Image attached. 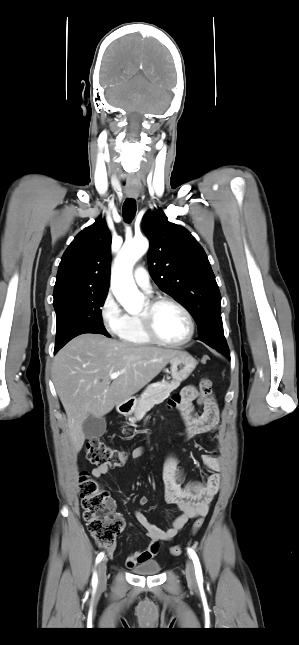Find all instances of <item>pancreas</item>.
Masks as SVG:
<instances>
[{
    "label": "pancreas",
    "mask_w": 299,
    "mask_h": 645,
    "mask_svg": "<svg viewBox=\"0 0 299 645\" xmlns=\"http://www.w3.org/2000/svg\"><path fill=\"white\" fill-rule=\"evenodd\" d=\"M179 385L180 383L176 381L167 382L164 380L148 386L138 398L133 411L134 416L130 417L129 420L132 423L140 421L155 404L163 402Z\"/></svg>",
    "instance_id": "cf45deb5"
}]
</instances>
